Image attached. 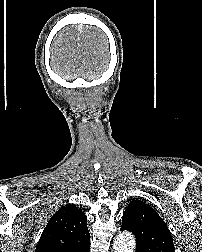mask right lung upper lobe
<instances>
[{"instance_id": "1", "label": "right lung upper lobe", "mask_w": 202, "mask_h": 252, "mask_svg": "<svg viewBox=\"0 0 202 252\" xmlns=\"http://www.w3.org/2000/svg\"><path fill=\"white\" fill-rule=\"evenodd\" d=\"M87 217L74 204L61 207L46 225L35 252H88Z\"/></svg>"}]
</instances>
